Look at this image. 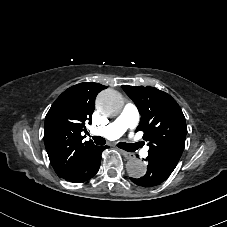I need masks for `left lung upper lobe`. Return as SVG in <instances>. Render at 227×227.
<instances>
[{"mask_svg": "<svg viewBox=\"0 0 227 227\" xmlns=\"http://www.w3.org/2000/svg\"><path fill=\"white\" fill-rule=\"evenodd\" d=\"M136 104L141 120L136 131L144 132L148 157L176 167L185 146L187 126L177 102L154 87L122 86Z\"/></svg>", "mask_w": 227, "mask_h": 227, "instance_id": "left-lung-upper-lobe-1", "label": "left lung upper lobe"}]
</instances>
